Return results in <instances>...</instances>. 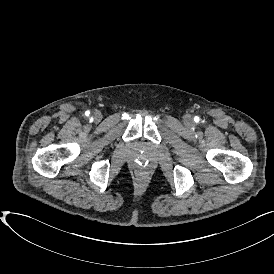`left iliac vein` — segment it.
Wrapping results in <instances>:
<instances>
[{"mask_svg":"<svg viewBox=\"0 0 274 274\" xmlns=\"http://www.w3.org/2000/svg\"><path fill=\"white\" fill-rule=\"evenodd\" d=\"M184 123L188 126L192 125V123H193L192 117L190 115H186L184 117Z\"/></svg>","mask_w":274,"mask_h":274,"instance_id":"obj_1","label":"left iliac vein"}]
</instances>
